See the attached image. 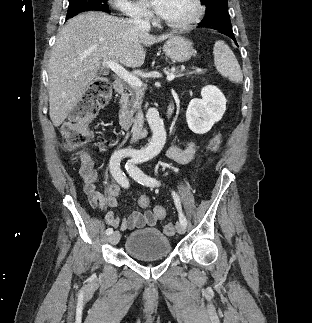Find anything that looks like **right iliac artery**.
<instances>
[{
	"label": "right iliac artery",
	"mask_w": 312,
	"mask_h": 323,
	"mask_svg": "<svg viewBox=\"0 0 312 323\" xmlns=\"http://www.w3.org/2000/svg\"><path fill=\"white\" fill-rule=\"evenodd\" d=\"M129 156L127 151H117L115 152L110 159V171L112 176L114 177V179L124 188H128L129 187V181L125 175L124 172H122L120 170V161L123 157ZM135 158L129 160L126 163V166H132V163H135ZM113 233V229L112 228H108L106 230V234L107 235H111Z\"/></svg>",
	"instance_id": "1"
}]
</instances>
